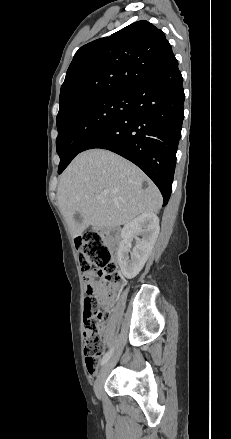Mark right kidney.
<instances>
[{
	"instance_id": "1",
	"label": "right kidney",
	"mask_w": 231,
	"mask_h": 439,
	"mask_svg": "<svg viewBox=\"0 0 231 439\" xmlns=\"http://www.w3.org/2000/svg\"><path fill=\"white\" fill-rule=\"evenodd\" d=\"M159 218L156 214H141L124 226L121 232L123 238L118 249V264L122 274L132 279L139 274L145 265L159 234ZM134 235H141L131 251ZM130 253V258H129Z\"/></svg>"
}]
</instances>
